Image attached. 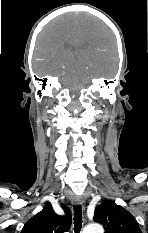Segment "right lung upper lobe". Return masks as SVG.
Masks as SVG:
<instances>
[{"label": "right lung upper lobe", "instance_id": "obj_1", "mask_svg": "<svg viewBox=\"0 0 148 233\" xmlns=\"http://www.w3.org/2000/svg\"><path fill=\"white\" fill-rule=\"evenodd\" d=\"M65 216L56 214L51 204L43 207L42 211L29 219L24 225L21 233H63L70 229L71 212L63 207Z\"/></svg>", "mask_w": 148, "mask_h": 233}]
</instances>
